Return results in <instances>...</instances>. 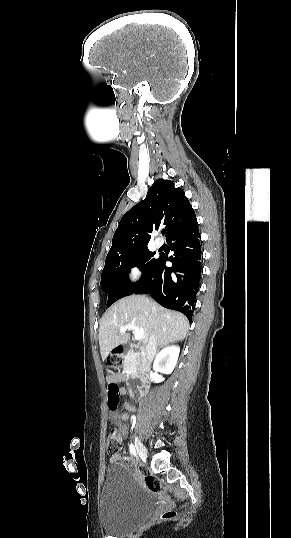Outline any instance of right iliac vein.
Returning <instances> with one entry per match:
<instances>
[{
    "label": "right iliac vein",
    "instance_id": "right-iliac-vein-1",
    "mask_svg": "<svg viewBox=\"0 0 291 538\" xmlns=\"http://www.w3.org/2000/svg\"><path fill=\"white\" fill-rule=\"evenodd\" d=\"M135 447H136V451L139 457L142 460H145L147 458V449L137 437L135 439Z\"/></svg>",
    "mask_w": 291,
    "mask_h": 538
}]
</instances>
